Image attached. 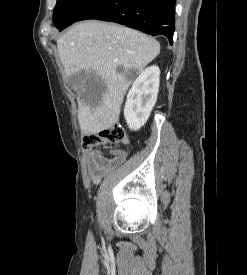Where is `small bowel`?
<instances>
[{
  "label": "small bowel",
  "instance_id": "small-bowel-1",
  "mask_svg": "<svg viewBox=\"0 0 247 275\" xmlns=\"http://www.w3.org/2000/svg\"><path fill=\"white\" fill-rule=\"evenodd\" d=\"M110 154L111 156L108 157L100 150H92L86 153L85 162L93 184H98L103 177L119 167L127 157L126 152L123 150H113Z\"/></svg>",
  "mask_w": 247,
  "mask_h": 275
}]
</instances>
